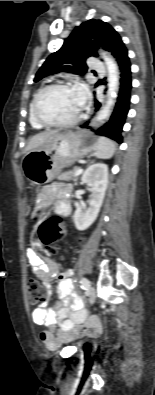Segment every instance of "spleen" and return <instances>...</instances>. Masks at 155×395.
Here are the masks:
<instances>
[{"mask_svg": "<svg viewBox=\"0 0 155 395\" xmlns=\"http://www.w3.org/2000/svg\"><path fill=\"white\" fill-rule=\"evenodd\" d=\"M116 146L112 140L106 137L98 138L95 156L99 159H109L115 153Z\"/></svg>", "mask_w": 155, "mask_h": 395, "instance_id": "3e777b00", "label": "spleen"}]
</instances>
